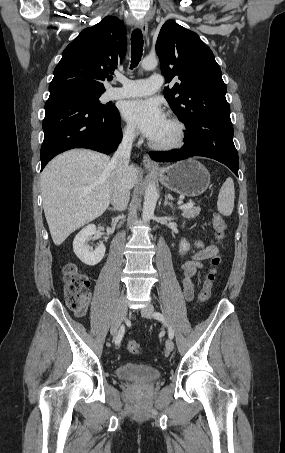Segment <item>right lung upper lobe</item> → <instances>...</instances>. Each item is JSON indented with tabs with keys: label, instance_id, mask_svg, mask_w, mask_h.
Segmentation results:
<instances>
[{
	"label": "right lung upper lobe",
	"instance_id": "right-lung-upper-lobe-1",
	"mask_svg": "<svg viewBox=\"0 0 285 453\" xmlns=\"http://www.w3.org/2000/svg\"><path fill=\"white\" fill-rule=\"evenodd\" d=\"M126 49V27L117 17L107 16L82 30L63 51L49 85L50 93H103V82L121 64Z\"/></svg>",
	"mask_w": 285,
	"mask_h": 453
}]
</instances>
